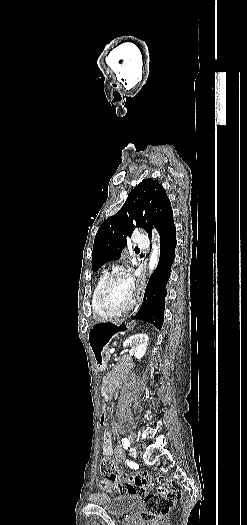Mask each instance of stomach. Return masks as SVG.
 <instances>
[{"mask_svg":"<svg viewBox=\"0 0 247 525\" xmlns=\"http://www.w3.org/2000/svg\"><path fill=\"white\" fill-rule=\"evenodd\" d=\"M135 324L124 320L118 322L97 323L88 333V344L100 369L105 367L102 351L116 336L133 329Z\"/></svg>","mask_w":247,"mask_h":525,"instance_id":"1","label":"stomach"}]
</instances>
